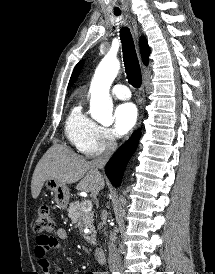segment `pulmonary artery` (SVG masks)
Returning a JSON list of instances; mask_svg holds the SVG:
<instances>
[{
  "instance_id": "obj_1",
  "label": "pulmonary artery",
  "mask_w": 215,
  "mask_h": 274,
  "mask_svg": "<svg viewBox=\"0 0 215 274\" xmlns=\"http://www.w3.org/2000/svg\"><path fill=\"white\" fill-rule=\"evenodd\" d=\"M111 92L113 96L121 99V100H127L130 98L131 94L127 86L123 84H116L112 87Z\"/></svg>"
}]
</instances>
